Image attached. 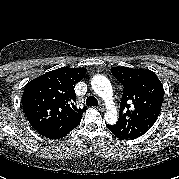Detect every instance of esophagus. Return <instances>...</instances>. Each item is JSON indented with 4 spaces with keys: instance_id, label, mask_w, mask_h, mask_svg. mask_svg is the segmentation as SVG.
<instances>
[{
    "instance_id": "34e87169",
    "label": "esophagus",
    "mask_w": 179,
    "mask_h": 179,
    "mask_svg": "<svg viewBox=\"0 0 179 179\" xmlns=\"http://www.w3.org/2000/svg\"><path fill=\"white\" fill-rule=\"evenodd\" d=\"M97 109L100 110L101 112H103V111H104V106H103V104H99V105L97 106Z\"/></svg>"
}]
</instances>
